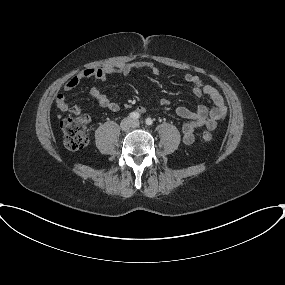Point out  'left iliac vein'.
<instances>
[{
    "mask_svg": "<svg viewBox=\"0 0 285 285\" xmlns=\"http://www.w3.org/2000/svg\"><path fill=\"white\" fill-rule=\"evenodd\" d=\"M139 125H140V123H139L138 120H133V121H132V127H133V128H137V127H139Z\"/></svg>",
    "mask_w": 285,
    "mask_h": 285,
    "instance_id": "1",
    "label": "left iliac vein"
}]
</instances>
